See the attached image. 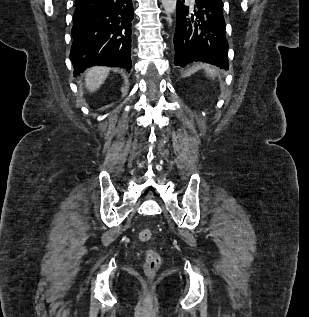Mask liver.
<instances>
[{
	"instance_id": "obj_1",
	"label": "liver",
	"mask_w": 309,
	"mask_h": 317,
	"mask_svg": "<svg viewBox=\"0 0 309 317\" xmlns=\"http://www.w3.org/2000/svg\"><path fill=\"white\" fill-rule=\"evenodd\" d=\"M109 74L106 67L95 66L85 72V84L90 92H94L103 84Z\"/></svg>"
}]
</instances>
